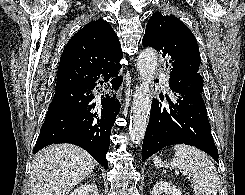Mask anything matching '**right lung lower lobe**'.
I'll use <instances>...</instances> for the list:
<instances>
[{"mask_svg": "<svg viewBox=\"0 0 245 195\" xmlns=\"http://www.w3.org/2000/svg\"><path fill=\"white\" fill-rule=\"evenodd\" d=\"M122 81V76L98 71L88 83L55 90L33 153L53 143H71L108 169L109 137L121 106L110 89H118Z\"/></svg>", "mask_w": 245, "mask_h": 195, "instance_id": "obj_1", "label": "right lung lower lobe"}]
</instances>
